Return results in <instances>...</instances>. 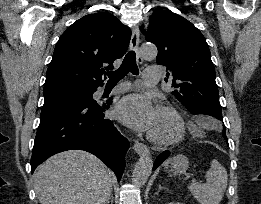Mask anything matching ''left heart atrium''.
I'll list each match as a JSON object with an SVG mask.
<instances>
[{"label": "left heart atrium", "instance_id": "39dd6f15", "mask_svg": "<svg viewBox=\"0 0 261 204\" xmlns=\"http://www.w3.org/2000/svg\"><path fill=\"white\" fill-rule=\"evenodd\" d=\"M157 111L151 98L144 94L127 95L115 107L116 117L127 126L139 131L151 130Z\"/></svg>", "mask_w": 261, "mask_h": 204}]
</instances>
